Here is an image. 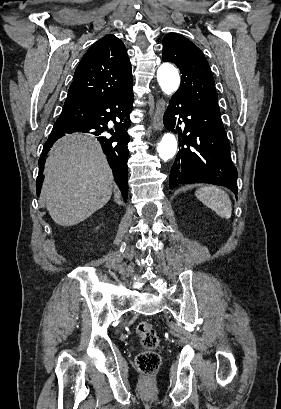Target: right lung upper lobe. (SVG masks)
Here are the masks:
<instances>
[{"instance_id":"1","label":"right lung upper lobe","mask_w":281,"mask_h":409,"mask_svg":"<svg viewBox=\"0 0 281 409\" xmlns=\"http://www.w3.org/2000/svg\"><path fill=\"white\" fill-rule=\"evenodd\" d=\"M130 87L132 72L125 46L116 36L106 35L81 59L65 104L95 102Z\"/></svg>"}]
</instances>
